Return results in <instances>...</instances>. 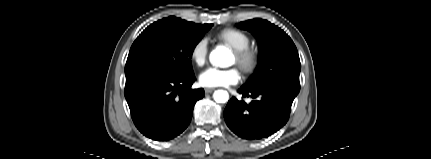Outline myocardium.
Returning a JSON list of instances; mask_svg holds the SVG:
<instances>
[{
    "label": "myocardium",
    "instance_id": "f54148a6",
    "mask_svg": "<svg viewBox=\"0 0 431 159\" xmlns=\"http://www.w3.org/2000/svg\"><path fill=\"white\" fill-rule=\"evenodd\" d=\"M233 54L237 65L245 74H251L256 70L259 63V55L255 49L248 46L243 49L233 50Z\"/></svg>",
    "mask_w": 431,
    "mask_h": 159
}]
</instances>
